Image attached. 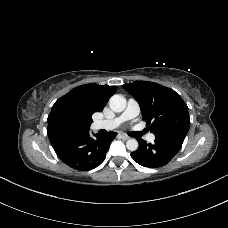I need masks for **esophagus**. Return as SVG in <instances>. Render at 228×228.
I'll use <instances>...</instances> for the list:
<instances>
[{
  "label": "esophagus",
  "mask_w": 228,
  "mask_h": 228,
  "mask_svg": "<svg viewBox=\"0 0 228 228\" xmlns=\"http://www.w3.org/2000/svg\"><path fill=\"white\" fill-rule=\"evenodd\" d=\"M121 138H122L123 140H128V139H130V137H129L128 135L124 134V133L121 134Z\"/></svg>",
  "instance_id": "esophagus-1"
}]
</instances>
